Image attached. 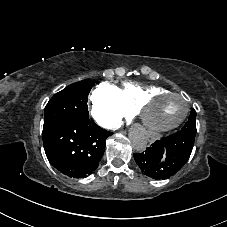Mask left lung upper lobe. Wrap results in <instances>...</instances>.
Listing matches in <instances>:
<instances>
[{"label":"left lung upper lobe","instance_id":"left-lung-upper-lobe-1","mask_svg":"<svg viewBox=\"0 0 227 227\" xmlns=\"http://www.w3.org/2000/svg\"><path fill=\"white\" fill-rule=\"evenodd\" d=\"M179 132L196 135V112L194 109H191L189 120Z\"/></svg>","mask_w":227,"mask_h":227}]
</instances>
